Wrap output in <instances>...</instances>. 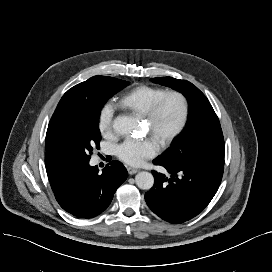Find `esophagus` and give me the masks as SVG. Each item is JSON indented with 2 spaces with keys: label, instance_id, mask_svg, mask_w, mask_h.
I'll return each instance as SVG.
<instances>
[{
  "label": "esophagus",
  "instance_id": "34e87169",
  "mask_svg": "<svg viewBox=\"0 0 272 272\" xmlns=\"http://www.w3.org/2000/svg\"><path fill=\"white\" fill-rule=\"evenodd\" d=\"M127 171L130 175H133V174H136L139 170L138 169H135V168H132V167H128L127 168Z\"/></svg>",
  "mask_w": 272,
  "mask_h": 272
}]
</instances>
